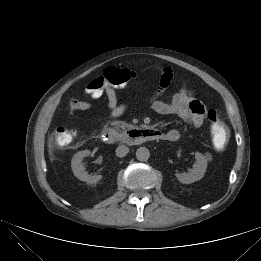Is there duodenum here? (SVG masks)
I'll list each match as a JSON object with an SVG mask.
<instances>
[{
  "label": "duodenum",
  "instance_id": "410a0bca",
  "mask_svg": "<svg viewBox=\"0 0 261 261\" xmlns=\"http://www.w3.org/2000/svg\"><path fill=\"white\" fill-rule=\"evenodd\" d=\"M101 137L107 143L122 142L130 145L162 139V135L154 129H129L119 131L110 126L102 130Z\"/></svg>",
  "mask_w": 261,
  "mask_h": 261
}]
</instances>
